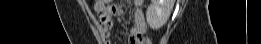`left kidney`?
Segmentation results:
<instances>
[{"instance_id": "left-kidney-1", "label": "left kidney", "mask_w": 261, "mask_h": 44, "mask_svg": "<svg viewBox=\"0 0 261 44\" xmlns=\"http://www.w3.org/2000/svg\"><path fill=\"white\" fill-rule=\"evenodd\" d=\"M174 0H151L146 11V20L153 30L160 29L169 19Z\"/></svg>"}]
</instances>
